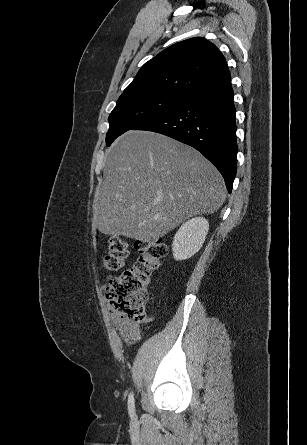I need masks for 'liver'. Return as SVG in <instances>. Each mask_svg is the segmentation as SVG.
I'll return each mask as SVG.
<instances>
[{
    "instance_id": "liver-1",
    "label": "liver",
    "mask_w": 307,
    "mask_h": 445,
    "mask_svg": "<svg viewBox=\"0 0 307 445\" xmlns=\"http://www.w3.org/2000/svg\"><path fill=\"white\" fill-rule=\"evenodd\" d=\"M224 200V180L199 150L159 132L128 130L108 150L93 210L100 233L151 245Z\"/></svg>"
}]
</instances>
